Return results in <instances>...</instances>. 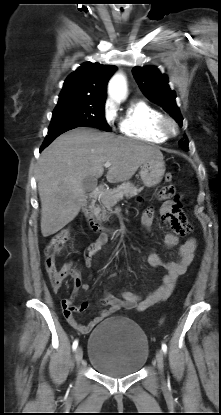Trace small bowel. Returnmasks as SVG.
<instances>
[{"instance_id":"c3829d8e","label":"small bowel","mask_w":221,"mask_h":415,"mask_svg":"<svg viewBox=\"0 0 221 415\" xmlns=\"http://www.w3.org/2000/svg\"><path fill=\"white\" fill-rule=\"evenodd\" d=\"M177 188L167 186L158 192V198L165 200L161 214L167 224L173 229L174 233L166 234L162 248L164 250L172 249L178 245V235H184L190 230V226L186 221V212L181 210V205L177 197ZM174 198V199H171ZM154 220V210L147 208L142 214V224L144 228L149 231ZM108 237L106 235L99 236L85 252V264L90 266L92 257L99 252L107 243ZM197 248V241L195 238L187 239L180 245L176 251V258L174 260L166 261L162 259L155 251H150L147 254L148 263L154 268H164L166 274L163 276L161 285L146 296H140L132 292L124 291L119 297L105 292L102 303L108 306L101 310L99 314L92 319L88 324L83 325L79 323L73 316L74 312H83L88 307V302L84 301L79 306L73 305L74 294L69 299L62 301V308L67 322L76 330L82 333L90 331L97 326L103 319L113 315L121 309H134L137 311H144L149 307L166 301L172 294L177 279L183 275L188 266L193 261L195 251ZM110 278L117 277L116 273H112ZM81 288L84 291L88 290L86 284L76 283V289Z\"/></svg>"}]
</instances>
